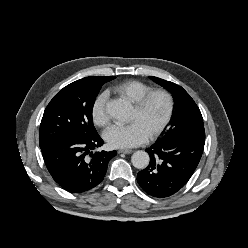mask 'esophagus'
Listing matches in <instances>:
<instances>
[{"label": "esophagus", "instance_id": "esophagus-1", "mask_svg": "<svg viewBox=\"0 0 248 248\" xmlns=\"http://www.w3.org/2000/svg\"><path fill=\"white\" fill-rule=\"evenodd\" d=\"M133 152L132 149H120L118 153H123V154H131Z\"/></svg>", "mask_w": 248, "mask_h": 248}]
</instances>
